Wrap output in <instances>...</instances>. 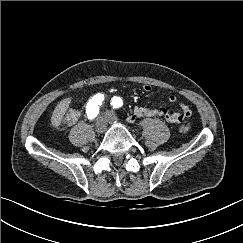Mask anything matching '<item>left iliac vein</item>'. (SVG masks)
<instances>
[{"instance_id":"left-iliac-vein-1","label":"left iliac vein","mask_w":243,"mask_h":243,"mask_svg":"<svg viewBox=\"0 0 243 243\" xmlns=\"http://www.w3.org/2000/svg\"><path fill=\"white\" fill-rule=\"evenodd\" d=\"M105 117H106L107 122H109V123L117 122L116 115L111 111L105 112Z\"/></svg>"}]
</instances>
